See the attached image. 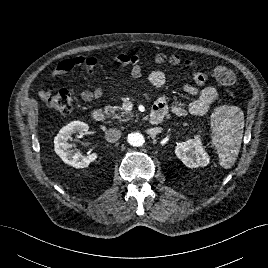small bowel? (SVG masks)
<instances>
[{"instance_id": "1", "label": "small bowel", "mask_w": 268, "mask_h": 268, "mask_svg": "<svg viewBox=\"0 0 268 268\" xmlns=\"http://www.w3.org/2000/svg\"><path fill=\"white\" fill-rule=\"evenodd\" d=\"M117 61L122 65L131 66L130 74L132 78H141L142 66L138 56L120 54ZM101 64V60L96 56H75L67 58L58 63L57 67L53 71L52 77L64 75L74 68H82L90 75H95L97 70L101 67ZM148 81L154 87H163L167 82V76L161 70H154L149 74ZM205 83L206 76L201 72L195 73L194 82L192 84L184 85V92L194 97L188 106L184 107L177 103L170 106L164 97H160L153 106L152 112H161L165 115L169 112V110H171L179 116H184L188 113L199 116L207 113L217 100L218 92L215 87L205 85ZM47 93L46 89H40V98L44 99ZM102 95L103 88L101 85H96L93 90L83 91L81 93V98L86 102H91L102 97Z\"/></svg>"}]
</instances>
